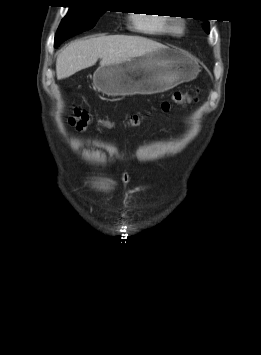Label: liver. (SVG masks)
Listing matches in <instances>:
<instances>
[{
	"mask_svg": "<svg viewBox=\"0 0 261 355\" xmlns=\"http://www.w3.org/2000/svg\"><path fill=\"white\" fill-rule=\"evenodd\" d=\"M164 47L162 44L140 36L110 35L91 37L71 42L57 57L58 79L72 76L95 65L119 63Z\"/></svg>",
	"mask_w": 261,
	"mask_h": 355,
	"instance_id": "obj_1",
	"label": "liver"
}]
</instances>
